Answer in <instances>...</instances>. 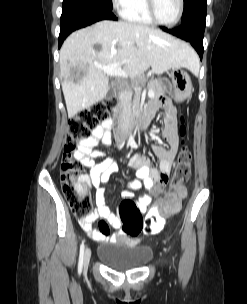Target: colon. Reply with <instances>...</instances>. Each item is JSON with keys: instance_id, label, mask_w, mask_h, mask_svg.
<instances>
[{"instance_id": "obj_1", "label": "colon", "mask_w": 247, "mask_h": 304, "mask_svg": "<svg viewBox=\"0 0 247 304\" xmlns=\"http://www.w3.org/2000/svg\"><path fill=\"white\" fill-rule=\"evenodd\" d=\"M116 105L117 98L113 95L108 96L90 108L78 112L69 120L60 179L64 196L73 214L80 221L86 220L91 214L92 203L81 164L74 159L73 154L77 150L78 144L90 135L92 129L100 121L110 117ZM179 131L181 135L185 134L183 120H181ZM191 162V153L186 147H183L179 152L172 178V185L176 190L166 192L161 200L162 205L153 207L144 220H142L139 208L134 201L125 199L121 202L119 216L125 233L131 236H136L141 232L156 234L163 229L165 219L180 208L181 199L184 197L186 189L183 183L190 177Z\"/></svg>"}]
</instances>
